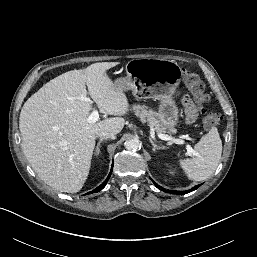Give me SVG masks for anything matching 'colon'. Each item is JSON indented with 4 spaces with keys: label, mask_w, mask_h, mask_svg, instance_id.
<instances>
[{
    "label": "colon",
    "mask_w": 257,
    "mask_h": 257,
    "mask_svg": "<svg viewBox=\"0 0 257 257\" xmlns=\"http://www.w3.org/2000/svg\"><path fill=\"white\" fill-rule=\"evenodd\" d=\"M183 81L188 88L194 102L202 107L208 101V95L205 92V86L200 78L193 72L183 71ZM222 117L217 112L204 111L202 124L206 129H212L220 124Z\"/></svg>",
    "instance_id": "obj_1"
}]
</instances>
